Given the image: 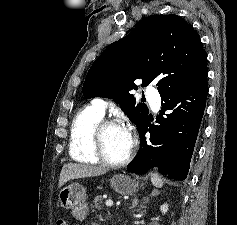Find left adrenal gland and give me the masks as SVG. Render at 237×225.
<instances>
[{
	"instance_id": "1",
	"label": "left adrenal gland",
	"mask_w": 237,
	"mask_h": 225,
	"mask_svg": "<svg viewBox=\"0 0 237 225\" xmlns=\"http://www.w3.org/2000/svg\"><path fill=\"white\" fill-rule=\"evenodd\" d=\"M152 194L153 195H157V194H159V192L158 191H154ZM137 204H138V200L136 198H134V200L132 202V208H135V206H137Z\"/></svg>"
}]
</instances>
